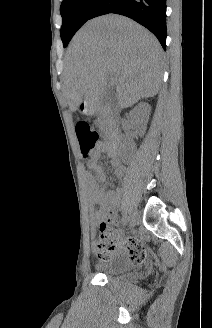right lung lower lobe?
<instances>
[{"instance_id":"right-lung-lower-lobe-1","label":"right lung lower lobe","mask_w":212,"mask_h":328,"mask_svg":"<svg viewBox=\"0 0 212 328\" xmlns=\"http://www.w3.org/2000/svg\"><path fill=\"white\" fill-rule=\"evenodd\" d=\"M108 13L137 21L148 28L166 49V0H100L90 19Z\"/></svg>"}]
</instances>
